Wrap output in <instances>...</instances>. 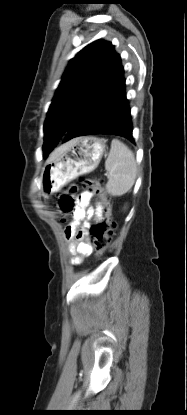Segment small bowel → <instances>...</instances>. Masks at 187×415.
<instances>
[{
	"instance_id": "small-bowel-1",
	"label": "small bowel",
	"mask_w": 187,
	"mask_h": 415,
	"mask_svg": "<svg viewBox=\"0 0 187 415\" xmlns=\"http://www.w3.org/2000/svg\"><path fill=\"white\" fill-rule=\"evenodd\" d=\"M92 194L88 191L82 192L77 197V205L73 214V222L69 224L64 234L66 239L70 242L69 250L74 255L71 259V264L78 266L83 259L89 256L92 252V247L87 240L86 227L84 226L77 232V226L81 221L99 220L103 214V208L100 203L95 206H90Z\"/></svg>"
}]
</instances>
